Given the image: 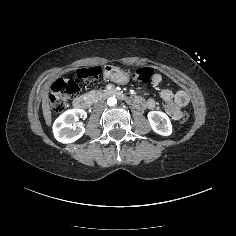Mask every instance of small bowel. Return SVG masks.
<instances>
[{
	"mask_svg": "<svg viewBox=\"0 0 236 236\" xmlns=\"http://www.w3.org/2000/svg\"><path fill=\"white\" fill-rule=\"evenodd\" d=\"M153 82L155 84L160 83L161 76L159 74H156L154 76ZM169 96H170L169 91H167V90L164 91V97L167 99V98H169ZM187 103H188L187 95L185 93H179L177 95V106H173L172 108H170L172 115L175 119H179L181 117V111H180L179 107H183V106L187 105ZM152 104H153V100H149L148 105L151 107Z\"/></svg>",
	"mask_w": 236,
	"mask_h": 236,
	"instance_id": "obj_1",
	"label": "small bowel"
}]
</instances>
